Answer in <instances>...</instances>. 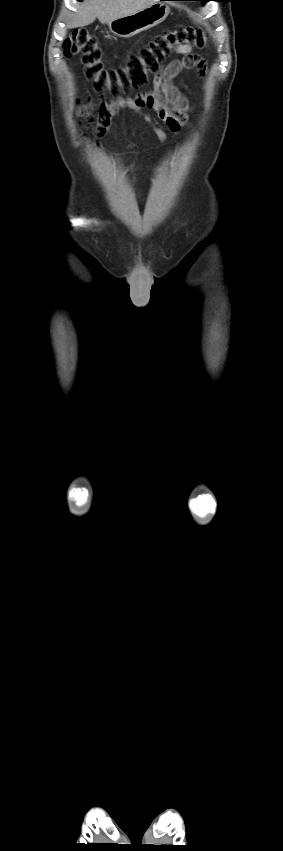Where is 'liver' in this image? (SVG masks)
Wrapping results in <instances>:
<instances>
[{"instance_id": "liver-1", "label": "liver", "mask_w": 283, "mask_h": 851, "mask_svg": "<svg viewBox=\"0 0 283 851\" xmlns=\"http://www.w3.org/2000/svg\"><path fill=\"white\" fill-rule=\"evenodd\" d=\"M157 0H85L68 28L87 26L97 18L102 24L136 13Z\"/></svg>"}]
</instances>
